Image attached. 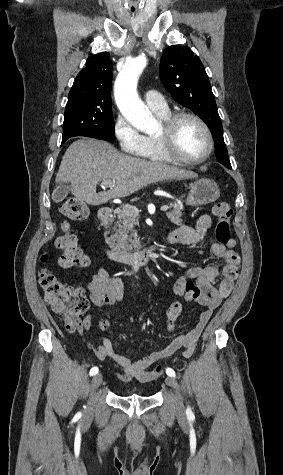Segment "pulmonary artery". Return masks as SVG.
Returning <instances> with one entry per match:
<instances>
[{
	"label": "pulmonary artery",
	"instance_id": "pulmonary-artery-1",
	"mask_svg": "<svg viewBox=\"0 0 283 475\" xmlns=\"http://www.w3.org/2000/svg\"><path fill=\"white\" fill-rule=\"evenodd\" d=\"M115 90H136V89H115ZM158 91L155 89L153 90H147L144 93V101L146 105L152 110V111H159V110H166L168 109L167 103L164 99V97L160 94L157 93Z\"/></svg>",
	"mask_w": 283,
	"mask_h": 475
}]
</instances>
